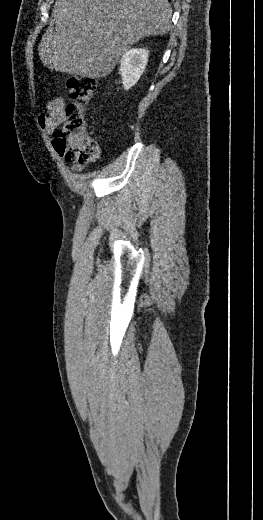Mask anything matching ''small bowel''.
I'll return each instance as SVG.
<instances>
[{
  "instance_id": "small-bowel-1",
  "label": "small bowel",
  "mask_w": 263,
  "mask_h": 520,
  "mask_svg": "<svg viewBox=\"0 0 263 520\" xmlns=\"http://www.w3.org/2000/svg\"><path fill=\"white\" fill-rule=\"evenodd\" d=\"M64 117L65 101L63 98L58 97L48 103L47 113L39 115L38 123L45 133L51 134L63 122ZM83 167V163L76 162L71 166L74 171H80Z\"/></svg>"
}]
</instances>
